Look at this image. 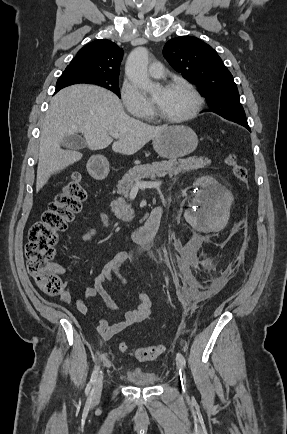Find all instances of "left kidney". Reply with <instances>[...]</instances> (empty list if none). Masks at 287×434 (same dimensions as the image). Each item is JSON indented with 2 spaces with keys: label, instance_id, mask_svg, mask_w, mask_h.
I'll return each mask as SVG.
<instances>
[{
  "label": "left kidney",
  "instance_id": "left-kidney-1",
  "mask_svg": "<svg viewBox=\"0 0 287 434\" xmlns=\"http://www.w3.org/2000/svg\"><path fill=\"white\" fill-rule=\"evenodd\" d=\"M198 182L201 190L196 194L194 203L204 204L205 209L203 211L207 216H216L215 218L218 219L227 216L233 200L231 193L212 177H201ZM184 217L192 226H197L203 221L199 211L186 210Z\"/></svg>",
  "mask_w": 287,
  "mask_h": 434
}]
</instances>
